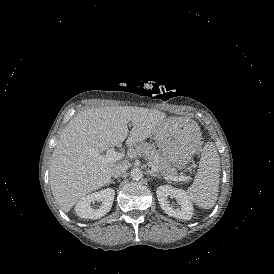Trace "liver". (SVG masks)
<instances>
[{
    "instance_id": "obj_1",
    "label": "liver",
    "mask_w": 274,
    "mask_h": 274,
    "mask_svg": "<svg viewBox=\"0 0 274 274\" xmlns=\"http://www.w3.org/2000/svg\"><path fill=\"white\" fill-rule=\"evenodd\" d=\"M167 119L162 110L136 106H100L80 111L62 131L51 156L49 182L56 203L65 213L70 212L90 192L109 184L114 167L125 156L135 154V148L154 131H165L172 123L193 121L184 117ZM125 139L128 153L122 150L115 153L112 161L102 160L101 152Z\"/></svg>"
}]
</instances>
